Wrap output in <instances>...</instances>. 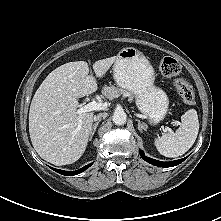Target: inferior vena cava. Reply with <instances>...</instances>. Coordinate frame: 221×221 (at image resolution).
I'll list each match as a JSON object with an SVG mask.
<instances>
[{
    "mask_svg": "<svg viewBox=\"0 0 221 221\" xmlns=\"http://www.w3.org/2000/svg\"><path fill=\"white\" fill-rule=\"evenodd\" d=\"M107 117V113H100L94 116V121H101Z\"/></svg>",
    "mask_w": 221,
    "mask_h": 221,
    "instance_id": "1",
    "label": "inferior vena cava"
}]
</instances>
